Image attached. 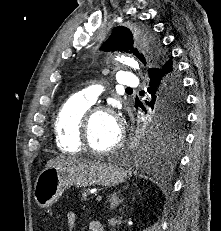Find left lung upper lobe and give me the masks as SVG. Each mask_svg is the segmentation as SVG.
<instances>
[{
    "mask_svg": "<svg viewBox=\"0 0 221 231\" xmlns=\"http://www.w3.org/2000/svg\"><path fill=\"white\" fill-rule=\"evenodd\" d=\"M139 45L147 50V60L136 48ZM102 49L104 51L118 50L133 53L144 65L147 63L152 66L161 65L166 59L159 39L149 29L133 30L132 32L126 27L118 26L104 43ZM184 105L185 99L183 93H181L169 113L161 116L154 111L151 118L150 132L162 136L166 141L179 142L181 140L180 127L185 120Z\"/></svg>",
    "mask_w": 221,
    "mask_h": 231,
    "instance_id": "1",
    "label": "left lung upper lobe"
}]
</instances>
